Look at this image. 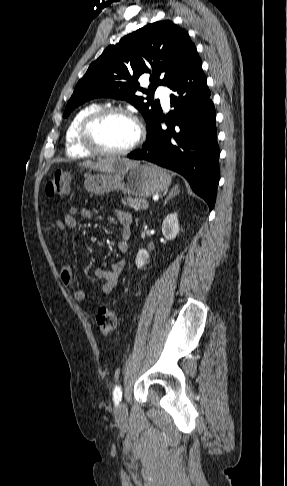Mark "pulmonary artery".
<instances>
[{
  "label": "pulmonary artery",
  "mask_w": 287,
  "mask_h": 486,
  "mask_svg": "<svg viewBox=\"0 0 287 486\" xmlns=\"http://www.w3.org/2000/svg\"><path fill=\"white\" fill-rule=\"evenodd\" d=\"M156 93L157 95L160 97L161 101H162V104L164 107L168 108L169 107V93H168V89L163 87V86H159L156 90Z\"/></svg>",
  "instance_id": "obj_1"
}]
</instances>
